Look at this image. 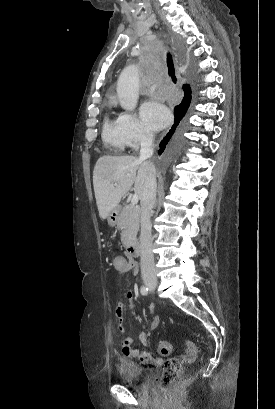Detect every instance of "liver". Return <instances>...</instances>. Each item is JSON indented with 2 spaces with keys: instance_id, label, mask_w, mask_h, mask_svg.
Wrapping results in <instances>:
<instances>
[{
  "instance_id": "liver-1",
  "label": "liver",
  "mask_w": 275,
  "mask_h": 409,
  "mask_svg": "<svg viewBox=\"0 0 275 409\" xmlns=\"http://www.w3.org/2000/svg\"><path fill=\"white\" fill-rule=\"evenodd\" d=\"M149 160L137 156H100L93 170V186L101 219H107L114 207L134 184L142 198ZM117 182V184H115Z\"/></svg>"
}]
</instances>
